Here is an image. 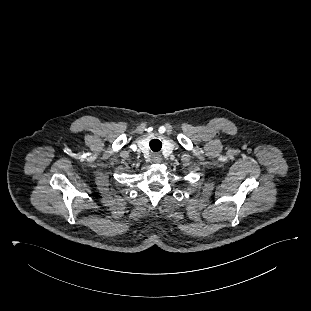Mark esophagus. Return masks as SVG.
<instances>
[{
	"instance_id": "1",
	"label": "esophagus",
	"mask_w": 311,
	"mask_h": 311,
	"mask_svg": "<svg viewBox=\"0 0 311 311\" xmlns=\"http://www.w3.org/2000/svg\"><path fill=\"white\" fill-rule=\"evenodd\" d=\"M152 161H153L154 163H161V161H162L161 155H159V154H154L153 157H152Z\"/></svg>"
}]
</instances>
